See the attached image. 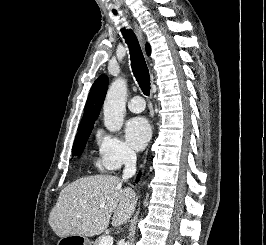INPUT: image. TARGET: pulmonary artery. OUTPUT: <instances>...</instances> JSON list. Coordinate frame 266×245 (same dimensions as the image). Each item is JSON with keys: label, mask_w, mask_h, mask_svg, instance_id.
<instances>
[{"label": "pulmonary artery", "mask_w": 266, "mask_h": 245, "mask_svg": "<svg viewBox=\"0 0 266 245\" xmlns=\"http://www.w3.org/2000/svg\"><path fill=\"white\" fill-rule=\"evenodd\" d=\"M140 96H133L127 103V107L131 112L140 113L145 109V103Z\"/></svg>", "instance_id": "1"}]
</instances>
